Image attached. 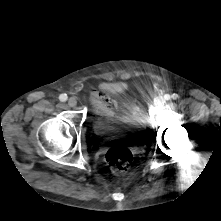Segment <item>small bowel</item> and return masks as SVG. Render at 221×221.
I'll use <instances>...</instances> for the list:
<instances>
[{
	"label": "small bowel",
	"mask_w": 221,
	"mask_h": 221,
	"mask_svg": "<svg viewBox=\"0 0 221 221\" xmlns=\"http://www.w3.org/2000/svg\"><path fill=\"white\" fill-rule=\"evenodd\" d=\"M107 95H99L97 92L92 94V102L94 110L100 114H110L116 112V105L113 100L108 96L106 102L103 97Z\"/></svg>",
	"instance_id": "small-bowel-1"
}]
</instances>
